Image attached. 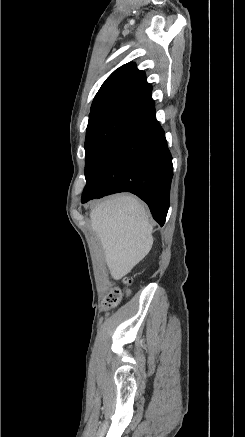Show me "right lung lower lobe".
I'll list each match as a JSON object with an SVG mask.
<instances>
[{
    "instance_id": "obj_1",
    "label": "right lung lower lobe",
    "mask_w": 245,
    "mask_h": 437,
    "mask_svg": "<svg viewBox=\"0 0 245 437\" xmlns=\"http://www.w3.org/2000/svg\"><path fill=\"white\" fill-rule=\"evenodd\" d=\"M172 177V156L152 109L144 112L111 145L86 180L82 203L113 193L131 192L148 204L153 218L163 226Z\"/></svg>"
}]
</instances>
